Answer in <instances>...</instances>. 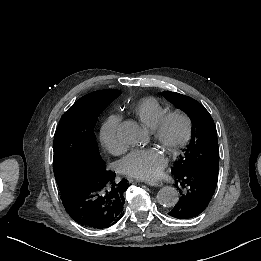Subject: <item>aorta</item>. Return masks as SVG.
<instances>
[{
    "instance_id": "1",
    "label": "aorta",
    "mask_w": 261,
    "mask_h": 261,
    "mask_svg": "<svg viewBox=\"0 0 261 261\" xmlns=\"http://www.w3.org/2000/svg\"><path fill=\"white\" fill-rule=\"evenodd\" d=\"M118 139L125 145L136 146L145 138L143 129L133 121H124L119 125ZM179 200V193L172 186L162 187L157 193V201L164 207H173Z\"/></svg>"
}]
</instances>
